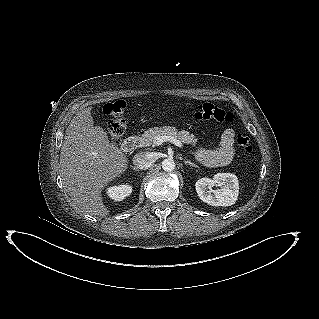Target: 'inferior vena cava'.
Wrapping results in <instances>:
<instances>
[{
  "label": "inferior vena cava",
  "mask_w": 319,
  "mask_h": 319,
  "mask_svg": "<svg viewBox=\"0 0 319 319\" xmlns=\"http://www.w3.org/2000/svg\"><path fill=\"white\" fill-rule=\"evenodd\" d=\"M155 162V159L148 152H140L134 155L133 164L137 169H148Z\"/></svg>",
  "instance_id": "obj_1"
}]
</instances>
